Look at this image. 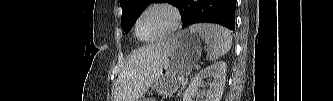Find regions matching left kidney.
I'll return each mask as SVG.
<instances>
[{"label":"left kidney","instance_id":"obj_1","mask_svg":"<svg viewBox=\"0 0 333 101\" xmlns=\"http://www.w3.org/2000/svg\"><path fill=\"white\" fill-rule=\"evenodd\" d=\"M212 78L213 81L209 83V89L206 92L205 101H220L224 91L226 79V63L224 61L213 63L209 67H206L197 73L185 91L183 101H192L198 91V88L203 86L204 79L212 80Z\"/></svg>","mask_w":333,"mask_h":101}]
</instances>
